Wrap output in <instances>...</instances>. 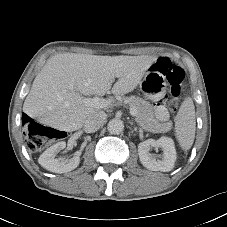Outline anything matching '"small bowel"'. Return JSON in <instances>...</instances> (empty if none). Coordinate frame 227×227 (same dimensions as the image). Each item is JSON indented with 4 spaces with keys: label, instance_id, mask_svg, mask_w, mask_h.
<instances>
[{
    "label": "small bowel",
    "instance_id": "small-bowel-1",
    "mask_svg": "<svg viewBox=\"0 0 227 227\" xmlns=\"http://www.w3.org/2000/svg\"><path fill=\"white\" fill-rule=\"evenodd\" d=\"M172 108V103L170 101H158L154 107V114L156 118L160 121H165L168 118V112L167 110H170Z\"/></svg>",
    "mask_w": 227,
    "mask_h": 227
}]
</instances>
